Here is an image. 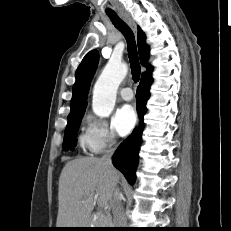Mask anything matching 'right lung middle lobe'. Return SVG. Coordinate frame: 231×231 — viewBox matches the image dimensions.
<instances>
[{
  "label": "right lung middle lobe",
  "instance_id": "obj_1",
  "mask_svg": "<svg viewBox=\"0 0 231 231\" xmlns=\"http://www.w3.org/2000/svg\"><path fill=\"white\" fill-rule=\"evenodd\" d=\"M84 113L68 117L65 129L63 149L65 151L73 149L77 143V133Z\"/></svg>",
  "mask_w": 231,
  "mask_h": 231
}]
</instances>
